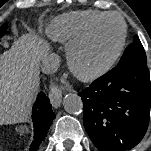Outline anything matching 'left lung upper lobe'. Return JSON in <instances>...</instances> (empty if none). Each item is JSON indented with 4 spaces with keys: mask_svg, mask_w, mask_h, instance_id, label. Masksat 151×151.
<instances>
[{
    "mask_svg": "<svg viewBox=\"0 0 151 151\" xmlns=\"http://www.w3.org/2000/svg\"><path fill=\"white\" fill-rule=\"evenodd\" d=\"M133 60L147 61L145 50L137 35L134 37L133 43L129 44L125 49L124 54L122 55L117 66Z\"/></svg>",
    "mask_w": 151,
    "mask_h": 151,
    "instance_id": "5c2ea615",
    "label": "left lung upper lobe"
}]
</instances>
